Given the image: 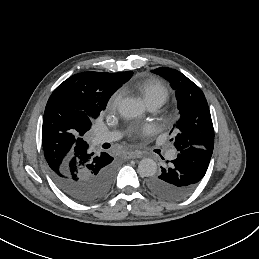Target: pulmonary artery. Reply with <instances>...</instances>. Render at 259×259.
<instances>
[{
  "instance_id": "e3ab8cb5",
  "label": "pulmonary artery",
  "mask_w": 259,
  "mask_h": 259,
  "mask_svg": "<svg viewBox=\"0 0 259 259\" xmlns=\"http://www.w3.org/2000/svg\"><path fill=\"white\" fill-rule=\"evenodd\" d=\"M147 106H148L149 110L155 111L156 109H158L161 106V103L151 102V103H148ZM119 137H120V134L117 132H105V133L97 134L95 136V141L97 143L111 142V141L117 140ZM175 157H176V151H174V150H169L166 153V158L169 161L174 160Z\"/></svg>"
}]
</instances>
